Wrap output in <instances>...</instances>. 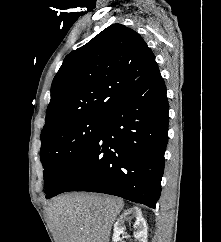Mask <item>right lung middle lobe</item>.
<instances>
[{"label":"right lung middle lobe","instance_id":"obj_1","mask_svg":"<svg viewBox=\"0 0 221 242\" xmlns=\"http://www.w3.org/2000/svg\"><path fill=\"white\" fill-rule=\"evenodd\" d=\"M103 117H83L41 135L40 158L44 167L46 198L78 153L97 134Z\"/></svg>","mask_w":221,"mask_h":242}]
</instances>
